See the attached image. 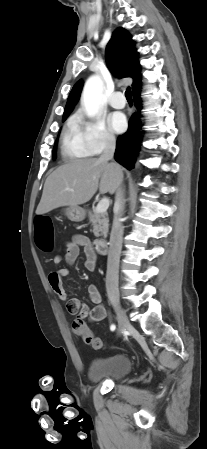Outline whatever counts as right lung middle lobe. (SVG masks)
<instances>
[{"mask_svg": "<svg viewBox=\"0 0 207 449\" xmlns=\"http://www.w3.org/2000/svg\"><path fill=\"white\" fill-rule=\"evenodd\" d=\"M66 118H63L62 119V121H64ZM56 143H57V141H56ZM56 143H55V146H54V149H53V159H55L56 158V156H55V151H56Z\"/></svg>", "mask_w": 207, "mask_h": 449, "instance_id": "dd1d6c3e", "label": "right lung middle lobe"}]
</instances>
